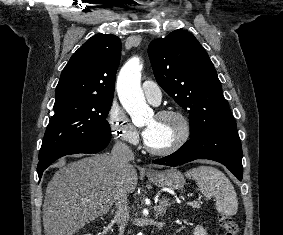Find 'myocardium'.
<instances>
[{"mask_svg": "<svg viewBox=\"0 0 283 235\" xmlns=\"http://www.w3.org/2000/svg\"><path fill=\"white\" fill-rule=\"evenodd\" d=\"M156 117L158 118H174L176 120L179 121L180 123V133L177 136L176 140L169 145L168 147L165 148H154L152 147L147 140L144 141V146L145 149L153 154V155H157V156H167V155H171L173 153H175L176 151H178L179 149H181L190 139L191 136V124L189 119L187 118V116L182 113L181 111L178 110H173V109H164L159 111L156 114Z\"/></svg>", "mask_w": 283, "mask_h": 235, "instance_id": "myocardium-1", "label": "myocardium"}]
</instances>
